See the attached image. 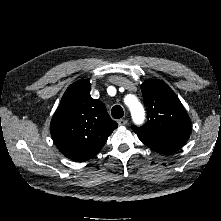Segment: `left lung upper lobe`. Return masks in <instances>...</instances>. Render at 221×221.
I'll list each match as a JSON object with an SVG mask.
<instances>
[{"label": "left lung upper lobe", "instance_id": "obj_1", "mask_svg": "<svg viewBox=\"0 0 221 221\" xmlns=\"http://www.w3.org/2000/svg\"><path fill=\"white\" fill-rule=\"evenodd\" d=\"M148 121L142 127L132 126L136 134H150L164 139L187 141L190 118L172 89L161 80H147L141 85Z\"/></svg>", "mask_w": 221, "mask_h": 221}]
</instances>
